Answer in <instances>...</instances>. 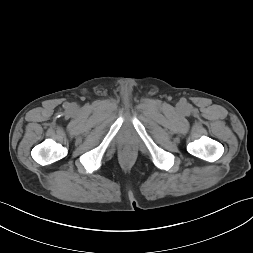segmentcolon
Listing matches in <instances>:
<instances>
[{"instance_id": "colon-1", "label": "colon", "mask_w": 253, "mask_h": 253, "mask_svg": "<svg viewBox=\"0 0 253 253\" xmlns=\"http://www.w3.org/2000/svg\"><path fill=\"white\" fill-rule=\"evenodd\" d=\"M131 154H132V152H131L130 149H126V150L124 151V156H125V157H130Z\"/></svg>"}]
</instances>
